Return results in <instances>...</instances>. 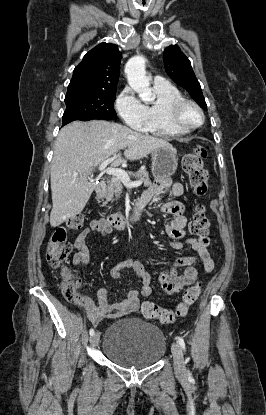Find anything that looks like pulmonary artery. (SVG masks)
I'll return each instance as SVG.
<instances>
[{
  "label": "pulmonary artery",
  "instance_id": "1",
  "mask_svg": "<svg viewBox=\"0 0 266 415\" xmlns=\"http://www.w3.org/2000/svg\"><path fill=\"white\" fill-rule=\"evenodd\" d=\"M164 82H166L164 78L160 76H155L154 83L158 84V83H164Z\"/></svg>",
  "mask_w": 266,
  "mask_h": 415
}]
</instances>
